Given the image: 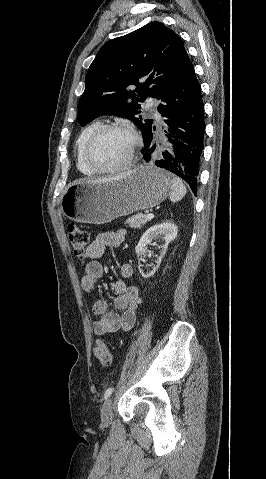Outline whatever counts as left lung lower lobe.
Wrapping results in <instances>:
<instances>
[{
  "label": "left lung lower lobe",
  "mask_w": 266,
  "mask_h": 479,
  "mask_svg": "<svg viewBox=\"0 0 266 479\" xmlns=\"http://www.w3.org/2000/svg\"><path fill=\"white\" fill-rule=\"evenodd\" d=\"M165 137L156 139L152 127L144 138L143 159L184 179L197 195L205 132L201 87L192 63L162 99Z\"/></svg>",
  "instance_id": "0a47b994"
}]
</instances>
